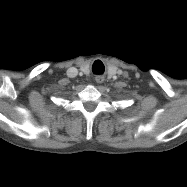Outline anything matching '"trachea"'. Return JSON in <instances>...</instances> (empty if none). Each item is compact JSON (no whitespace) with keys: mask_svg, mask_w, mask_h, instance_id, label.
Returning a JSON list of instances; mask_svg holds the SVG:
<instances>
[{"mask_svg":"<svg viewBox=\"0 0 187 187\" xmlns=\"http://www.w3.org/2000/svg\"><path fill=\"white\" fill-rule=\"evenodd\" d=\"M99 63H101V62H100V61H96V62L93 64V67H92L94 73H96V74H99V73H97V72L95 71V68H96L97 64H99ZM101 64H102V63H101ZM103 68H104V66H103Z\"/></svg>","mask_w":187,"mask_h":187,"instance_id":"3493384b","label":"trachea"}]
</instances>
